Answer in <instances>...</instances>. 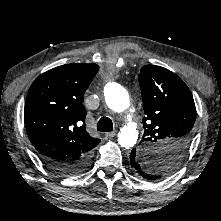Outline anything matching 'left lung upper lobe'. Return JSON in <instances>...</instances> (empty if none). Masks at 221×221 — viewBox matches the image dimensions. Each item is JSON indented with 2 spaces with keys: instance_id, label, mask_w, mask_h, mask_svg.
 Segmentation results:
<instances>
[{
  "instance_id": "obj_1",
  "label": "left lung upper lobe",
  "mask_w": 221,
  "mask_h": 221,
  "mask_svg": "<svg viewBox=\"0 0 221 221\" xmlns=\"http://www.w3.org/2000/svg\"><path fill=\"white\" fill-rule=\"evenodd\" d=\"M145 117L139 156L149 180L167 176L185 157L196 109L187 85L166 68L145 65L139 74ZM154 151L153 155H150Z\"/></svg>"
}]
</instances>
